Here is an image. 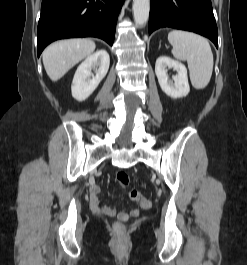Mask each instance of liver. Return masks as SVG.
<instances>
[{
  "label": "liver",
  "instance_id": "liver-1",
  "mask_svg": "<svg viewBox=\"0 0 247 265\" xmlns=\"http://www.w3.org/2000/svg\"><path fill=\"white\" fill-rule=\"evenodd\" d=\"M95 43L89 39H68L51 44L43 52V64L52 81H58L73 66L90 56Z\"/></svg>",
  "mask_w": 247,
  "mask_h": 265
}]
</instances>
